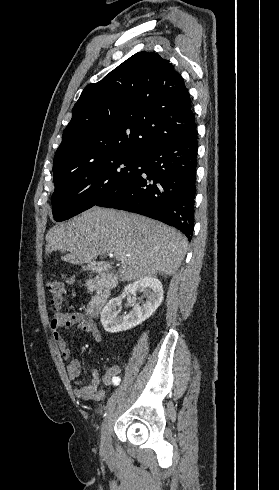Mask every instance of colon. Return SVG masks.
Listing matches in <instances>:
<instances>
[{
    "label": "colon",
    "mask_w": 279,
    "mask_h": 490,
    "mask_svg": "<svg viewBox=\"0 0 279 490\" xmlns=\"http://www.w3.org/2000/svg\"><path fill=\"white\" fill-rule=\"evenodd\" d=\"M47 290L52 296V301L56 310H60L64 298V283L53 279L47 282Z\"/></svg>",
    "instance_id": "obj_1"
}]
</instances>
